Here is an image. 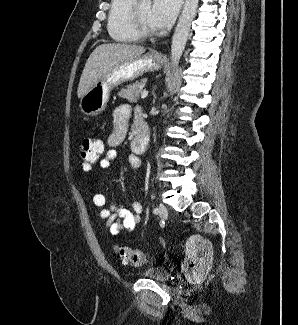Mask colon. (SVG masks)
<instances>
[{
  "mask_svg": "<svg viewBox=\"0 0 298 325\" xmlns=\"http://www.w3.org/2000/svg\"><path fill=\"white\" fill-rule=\"evenodd\" d=\"M103 151L100 139L86 134L80 148V164L86 171L99 160ZM119 258L126 264L140 266L146 262V256L138 249L126 246L117 247ZM186 271L193 282L202 281L212 265V247L209 241L200 235L191 236L185 246Z\"/></svg>",
  "mask_w": 298,
  "mask_h": 325,
  "instance_id": "5ec220e1",
  "label": "colon"
}]
</instances>
